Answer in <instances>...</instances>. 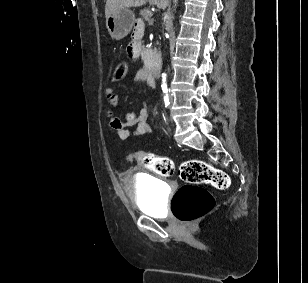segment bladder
<instances>
[{
    "mask_svg": "<svg viewBox=\"0 0 308 283\" xmlns=\"http://www.w3.org/2000/svg\"><path fill=\"white\" fill-rule=\"evenodd\" d=\"M130 185L134 203L141 212L155 218L166 216V192L160 180L139 174L131 178Z\"/></svg>",
    "mask_w": 308,
    "mask_h": 283,
    "instance_id": "obj_1",
    "label": "bladder"
}]
</instances>
